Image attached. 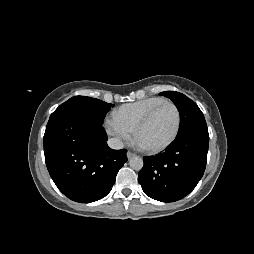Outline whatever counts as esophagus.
<instances>
[{
	"label": "esophagus",
	"instance_id": "1",
	"mask_svg": "<svg viewBox=\"0 0 254 254\" xmlns=\"http://www.w3.org/2000/svg\"><path fill=\"white\" fill-rule=\"evenodd\" d=\"M135 155H136V154L133 153V152H130V151L127 152V158H128V159H131V158L134 157Z\"/></svg>",
	"mask_w": 254,
	"mask_h": 254
}]
</instances>
